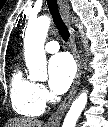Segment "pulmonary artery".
<instances>
[{
  "label": "pulmonary artery",
  "mask_w": 108,
  "mask_h": 127,
  "mask_svg": "<svg viewBox=\"0 0 108 127\" xmlns=\"http://www.w3.org/2000/svg\"><path fill=\"white\" fill-rule=\"evenodd\" d=\"M59 48V43L57 41H49L45 45V51L48 53H55Z\"/></svg>",
  "instance_id": "obj_1"
}]
</instances>
